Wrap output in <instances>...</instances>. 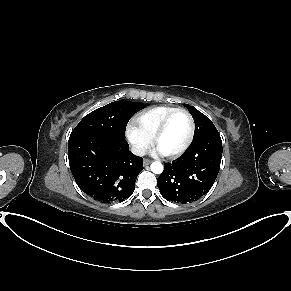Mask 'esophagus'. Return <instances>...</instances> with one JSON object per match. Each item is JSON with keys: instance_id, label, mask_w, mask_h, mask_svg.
I'll use <instances>...</instances> for the list:
<instances>
[{"instance_id": "34e87169", "label": "esophagus", "mask_w": 291, "mask_h": 291, "mask_svg": "<svg viewBox=\"0 0 291 291\" xmlns=\"http://www.w3.org/2000/svg\"><path fill=\"white\" fill-rule=\"evenodd\" d=\"M151 163V160L150 159H144L143 160V164L146 166V165H149Z\"/></svg>"}]
</instances>
